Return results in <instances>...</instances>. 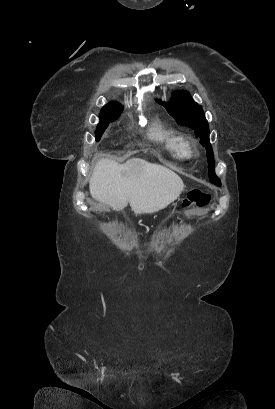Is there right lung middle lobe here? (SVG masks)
Listing matches in <instances>:
<instances>
[{"mask_svg": "<svg viewBox=\"0 0 275 409\" xmlns=\"http://www.w3.org/2000/svg\"><path fill=\"white\" fill-rule=\"evenodd\" d=\"M122 110L115 112H101L99 115L100 122L96 128L95 137L96 141H99L105 129L108 127L110 122H113L120 115Z\"/></svg>", "mask_w": 275, "mask_h": 409, "instance_id": "obj_1", "label": "right lung middle lobe"}]
</instances>
